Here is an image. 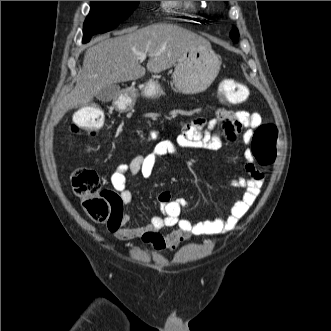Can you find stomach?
Listing matches in <instances>:
<instances>
[{"instance_id":"stomach-1","label":"stomach","mask_w":331,"mask_h":331,"mask_svg":"<svg viewBox=\"0 0 331 331\" xmlns=\"http://www.w3.org/2000/svg\"><path fill=\"white\" fill-rule=\"evenodd\" d=\"M220 70L218 56L209 44H198L186 51L177 61L173 73L175 89L184 94H196L206 90L216 78ZM163 89L158 82L150 80L143 88V95L157 98L163 95ZM135 98L124 94L116 102L120 111L133 108Z\"/></svg>"}]
</instances>
